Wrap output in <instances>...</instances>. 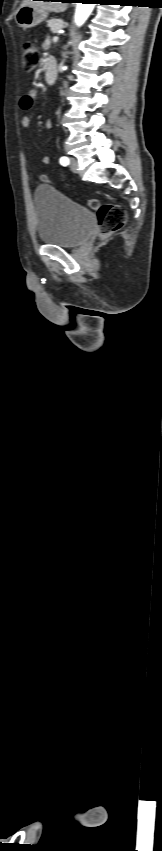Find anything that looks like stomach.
<instances>
[{
    "mask_svg": "<svg viewBox=\"0 0 162 851\" xmlns=\"http://www.w3.org/2000/svg\"><path fill=\"white\" fill-rule=\"evenodd\" d=\"M47 16L48 12L46 10L27 5L19 8L15 20L19 27L29 29L44 21Z\"/></svg>",
    "mask_w": 162,
    "mask_h": 851,
    "instance_id": "0dacf381",
    "label": "stomach"
}]
</instances>
